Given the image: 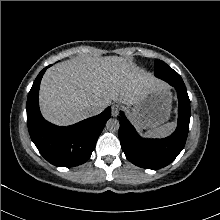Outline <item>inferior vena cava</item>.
I'll return each instance as SVG.
<instances>
[{"instance_id":"obj_1","label":"inferior vena cava","mask_w":220,"mask_h":220,"mask_svg":"<svg viewBox=\"0 0 220 220\" xmlns=\"http://www.w3.org/2000/svg\"><path fill=\"white\" fill-rule=\"evenodd\" d=\"M104 109V106L101 104H90L86 107V113L88 116H95L102 112Z\"/></svg>"}]
</instances>
